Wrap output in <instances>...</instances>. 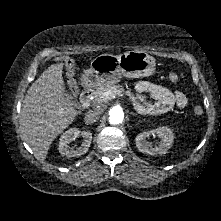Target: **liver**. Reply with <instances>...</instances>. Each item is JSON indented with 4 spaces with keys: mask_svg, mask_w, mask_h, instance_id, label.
I'll return each mask as SVG.
<instances>
[{
    "mask_svg": "<svg viewBox=\"0 0 221 221\" xmlns=\"http://www.w3.org/2000/svg\"><path fill=\"white\" fill-rule=\"evenodd\" d=\"M63 65H51L33 82L21 108L24 140L41 160L46 158L53 140L77 115L65 93Z\"/></svg>",
    "mask_w": 221,
    "mask_h": 221,
    "instance_id": "6515ba94",
    "label": "liver"
}]
</instances>
